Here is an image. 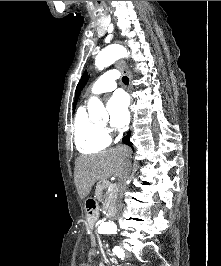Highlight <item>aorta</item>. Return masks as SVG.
Wrapping results in <instances>:
<instances>
[{
    "label": "aorta",
    "mask_w": 221,
    "mask_h": 266,
    "mask_svg": "<svg viewBox=\"0 0 221 266\" xmlns=\"http://www.w3.org/2000/svg\"><path fill=\"white\" fill-rule=\"evenodd\" d=\"M128 51L121 45H110L102 49L95 58V66L99 70L104 69L105 67L110 66L116 60L127 57ZM88 112L89 117L94 120L98 119L99 116H105L106 111L102 102L96 97L90 98L88 102ZM98 229L105 233H114L117 231L116 226L111 222H105L100 224Z\"/></svg>",
    "instance_id": "obj_1"
}]
</instances>
